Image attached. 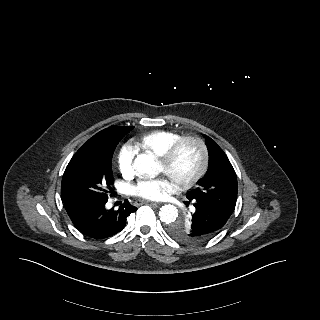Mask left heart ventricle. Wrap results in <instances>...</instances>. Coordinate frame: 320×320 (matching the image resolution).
<instances>
[{"label": "left heart ventricle", "mask_w": 320, "mask_h": 320, "mask_svg": "<svg viewBox=\"0 0 320 320\" xmlns=\"http://www.w3.org/2000/svg\"><path fill=\"white\" fill-rule=\"evenodd\" d=\"M198 165V149L194 144L187 143L182 147L174 165L170 169V173L172 174L174 179L183 180L192 175L197 170ZM161 170L166 173V169L163 164L161 166Z\"/></svg>", "instance_id": "left-heart-ventricle-1"}]
</instances>
